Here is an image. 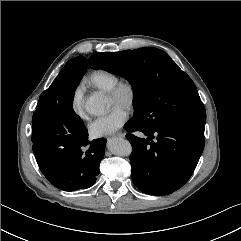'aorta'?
<instances>
[{"label":"aorta","instance_id":"aorta-1","mask_svg":"<svg viewBox=\"0 0 241 241\" xmlns=\"http://www.w3.org/2000/svg\"><path fill=\"white\" fill-rule=\"evenodd\" d=\"M85 110L95 116L105 114L109 110L106 97L99 92L91 94L85 102ZM109 150L118 156H129L132 152L131 143L123 138H114L108 142Z\"/></svg>","mask_w":241,"mask_h":241}]
</instances>
